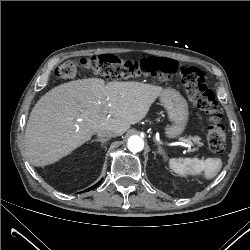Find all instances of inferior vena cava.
I'll return each instance as SVG.
<instances>
[{
  "mask_svg": "<svg viewBox=\"0 0 250 250\" xmlns=\"http://www.w3.org/2000/svg\"><path fill=\"white\" fill-rule=\"evenodd\" d=\"M118 134L114 130H99L97 131V136L99 138H109V137H116Z\"/></svg>",
  "mask_w": 250,
  "mask_h": 250,
  "instance_id": "obj_1",
  "label": "inferior vena cava"
}]
</instances>
